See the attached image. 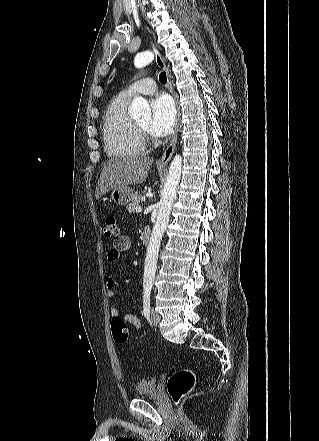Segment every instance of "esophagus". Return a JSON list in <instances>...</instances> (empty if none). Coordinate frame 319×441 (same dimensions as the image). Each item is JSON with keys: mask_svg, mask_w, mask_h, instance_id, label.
I'll return each mask as SVG.
<instances>
[{"mask_svg": "<svg viewBox=\"0 0 319 441\" xmlns=\"http://www.w3.org/2000/svg\"><path fill=\"white\" fill-rule=\"evenodd\" d=\"M151 47H152V51H153L154 56H155V61H156L157 66L160 69H163L165 71V73H166L167 87H168L169 92L173 96L174 101H175V105H176V120H175L174 133H173V136H172V139H171L169 145L167 146V148L165 149L162 157L158 161L159 164L165 165V164H167L169 162V160L171 159V157H172V155L174 153V150H175V146H176V142H177V136H178V130H179L180 109H179V106H178L177 96H176L175 91H174L173 86H172V80H171V75H170L169 69H168L164 59L162 58L158 48L154 45L153 42H151Z\"/></svg>", "mask_w": 319, "mask_h": 441, "instance_id": "obj_1", "label": "esophagus"}]
</instances>
